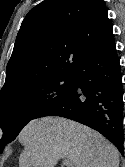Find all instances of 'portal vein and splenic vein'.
I'll list each match as a JSON object with an SVG mask.
<instances>
[{"instance_id": "portal-vein-and-splenic-vein-1", "label": "portal vein and splenic vein", "mask_w": 125, "mask_h": 167, "mask_svg": "<svg viewBox=\"0 0 125 167\" xmlns=\"http://www.w3.org/2000/svg\"><path fill=\"white\" fill-rule=\"evenodd\" d=\"M63 163L68 167H73V164L68 159H65Z\"/></svg>"}]
</instances>
